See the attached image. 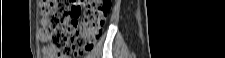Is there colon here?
<instances>
[{
  "label": "colon",
  "mask_w": 225,
  "mask_h": 58,
  "mask_svg": "<svg viewBox=\"0 0 225 58\" xmlns=\"http://www.w3.org/2000/svg\"><path fill=\"white\" fill-rule=\"evenodd\" d=\"M110 9L108 0L42 1L39 38L45 43L44 56L76 57L91 50L101 37Z\"/></svg>",
  "instance_id": "5ec220e1"
}]
</instances>
